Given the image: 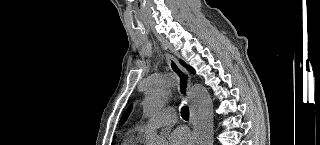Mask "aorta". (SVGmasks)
<instances>
[{
  "mask_svg": "<svg viewBox=\"0 0 320 145\" xmlns=\"http://www.w3.org/2000/svg\"><path fill=\"white\" fill-rule=\"evenodd\" d=\"M172 90V78L159 74L149 80L144 112L148 116L158 113L167 103ZM191 102L194 119V138L196 145H213V104L208 91L199 84L192 88ZM148 145H161L156 133L148 138Z\"/></svg>",
  "mask_w": 320,
  "mask_h": 145,
  "instance_id": "762f6f07",
  "label": "aorta"
}]
</instances>
